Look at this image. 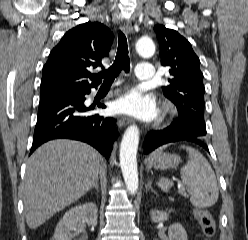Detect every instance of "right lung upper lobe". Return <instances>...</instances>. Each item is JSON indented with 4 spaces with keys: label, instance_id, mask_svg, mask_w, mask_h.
Segmentation results:
<instances>
[{
    "label": "right lung upper lobe",
    "instance_id": "right-lung-upper-lobe-1",
    "mask_svg": "<svg viewBox=\"0 0 248 240\" xmlns=\"http://www.w3.org/2000/svg\"><path fill=\"white\" fill-rule=\"evenodd\" d=\"M113 43L108 27L99 22L80 24L66 32L43 67L40 100L81 93L101 79L90 69L102 66Z\"/></svg>",
    "mask_w": 248,
    "mask_h": 240
}]
</instances>
